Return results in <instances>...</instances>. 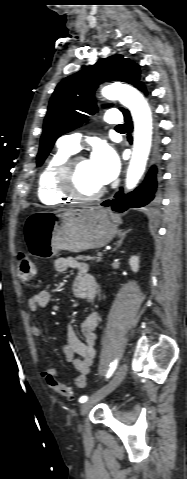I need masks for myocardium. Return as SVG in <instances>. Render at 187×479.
Masks as SVG:
<instances>
[{
  "label": "myocardium",
  "mask_w": 187,
  "mask_h": 479,
  "mask_svg": "<svg viewBox=\"0 0 187 479\" xmlns=\"http://www.w3.org/2000/svg\"><path fill=\"white\" fill-rule=\"evenodd\" d=\"M84 156H71L62 166L58 176L59 191L76 202L88 203L98 200L105 193V188L101 187L91 195L81 193L76 185V173L79 162L84 159Z\"/></svg>",
  "instance_id": "obj_1"
}]
</instances>
